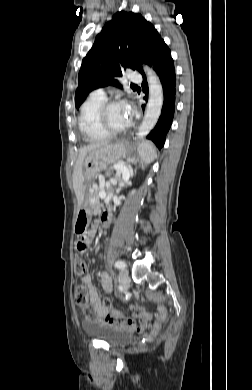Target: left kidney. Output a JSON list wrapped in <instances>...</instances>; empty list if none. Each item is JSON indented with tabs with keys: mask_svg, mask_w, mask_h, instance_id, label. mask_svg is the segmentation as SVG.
<instances>
[{
	"mask_svg": "<svg viewBox=\"0 0 252 390\" xmlns=\"http://www.w3.org/2000/svg\"><path fill=\"white\" fill-rule=\"evenodd\" d=\"M134 193H135V190L132 191V194H134Z\"/></svg>",
	"mask_w": 252,
	"mask_h": 390,
	"instance_id": "5707ae66",
	"label": "left kidney"
}]
</instances>
